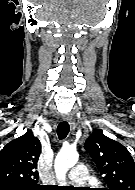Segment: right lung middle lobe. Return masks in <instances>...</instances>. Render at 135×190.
I'll return each mask as SVG.
<instances>
[{
    "label": "right lung middle lobe",
    "mask_w": 135,
    "mask_h": 190,
    "mask_svg": "<svg viewBox=\"0 0 135 190\" xmlns=\"http://www.w3.org/2000/svg\"><path fill=\"white\" fill-rule=\"evenodd\" d=\"M0 190H39V189H32V188H16V187H10V186H5V187H0Z\"/></svg>",
    "instance_id": "obj_1"
}]
</instances>
